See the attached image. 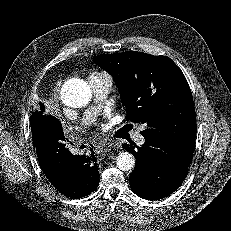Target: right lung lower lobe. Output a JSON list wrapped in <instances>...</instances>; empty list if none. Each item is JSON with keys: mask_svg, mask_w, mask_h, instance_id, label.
Returning a JSON list of instances; mask_svg holds the SVG:
<instances>
[{"mask_svg": "<svg viewBox=\"0 0 231 231\" xmlns=\"http://www.w3.org/2000/svg\"><path fill=\"white\" fill-rule=\"evenodd\" d=\"M31 129L40 167L60 193L77 199L96 189L99 174L92 148L89 155H73L60 121L52 115H42L31 123Z\"/></svg>", "mask_w": 231, "mask_h": 231, "instance_id": "98d812e1", "label": "right lung lower lobe"}]
</instances>
